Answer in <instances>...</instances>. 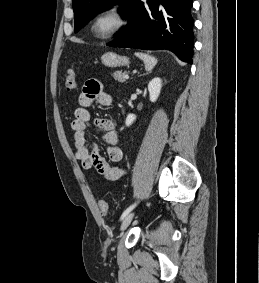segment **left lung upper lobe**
Masks as SVG:
<instances>
[{"label": "left lung upper lobe", "instance_id": "left-lung-upper-lobe-1", "mask_svg": "<svg viewBox=\"0 0 259 283\" xmlns=\"http://www.w3.org/2000/svg\"><path fill=\"white\" fill-rule=\"evenodd\" d=\"M136 0H73L74 26L77 33L84 25L94 18L102 9L119 4V11L123 17L128 18Z\"/></svg>", "mask_w": 259, "mask_h": 283}]
</instances>
